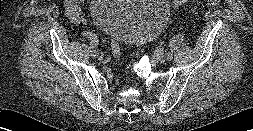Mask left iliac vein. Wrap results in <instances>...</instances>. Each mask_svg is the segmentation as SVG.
Here are the masks:
<instances>
[{
    "mask_svg": "<svg viewBox=\"0 0 253 131\" xmlns=\"http://www.w3.org/2000/svg\"><path fill=\"white\" fill-rule=\"evenodd\" d=\"M155 59L158 60L159 62H164L167 60H171L172 59V53L168 52V53H164V52H156L155 53Z\"/></svg>",
    "mask_w": 253,
    "mask_h": 131,
    "instance_id": "obj_1",
    "label": "left iliac vein"
}]
</instances>
